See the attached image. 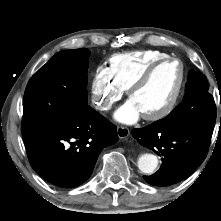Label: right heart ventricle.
<instances>
[{
  "label": "right heart ventricle",
  "instance_id": "right-heart-ventricle-1",
  "mask_svg": "<svg viewBox=\"0 0 221 221\" xmlns=\"http://www.w3.org/2000/svg\"><path fill=\"white\" fill-rule=\"evenodd\" d=\"M167 57L168 53L152 49L118 53L109 58L108 70L117 84L127 90L149 65Z\"/></svg>",
  "mask_w": 221,
  "mask_h": 221
}]
</instances>
